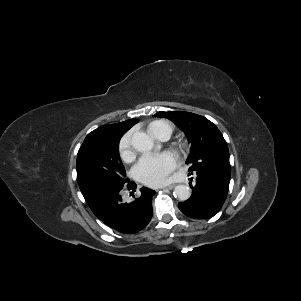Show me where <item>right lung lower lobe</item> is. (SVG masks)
<instances>
[{
	"instance_id": "right-lung-lower-lobe-1",
	"label": "right lung lower lobe",
	"mask_w": 301,
	"mask_h": 301,
	"mask_svg": "<svg viewBox=\"0 0 301 301\" xmlns=\"http://www.w3.org/2000/svg\"><path fill=\"white\" fill-rule=\"evenodd\" d=\"M129 182V181H128ZM129 189L136 188L133 182L126 183ZM122 187L105 192L95 206L93 213L110 228L124 234H134L147 226L152 217L151 199L155 191L143 187L134 201L122 199Z\"/></svg>"
}]
</instances>
